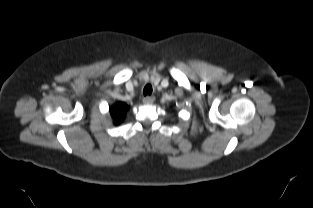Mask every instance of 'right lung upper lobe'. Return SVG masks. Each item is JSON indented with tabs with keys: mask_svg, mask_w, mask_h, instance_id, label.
Masks as SVG:
<instances>
[{
	"mask_svg": "<svg viewBox=\"0 0 313 208\" xmlns=\"http://www.w3.org/2000/svg\"><path fill=\"white\" fill-rule=\"evenodd\" d=\"M129 107L124 102H118L110 107L109 111L115 125L123 122Z\"/></svg>",
	"mask_w": 313,
	"mask_h": 208,
	"instance_id": "right-lung-upper-lobe-1",
	"label": "right lung upper lobe"
}]
</instances>
